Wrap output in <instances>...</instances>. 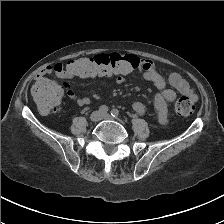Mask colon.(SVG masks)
<instances>
[{
  "label": "colon",
  "mask_w": 224,
  "mask_h": 224,
  "mask_svg": "<svg viewBox=\"0 0 224 224\" xmlns=\"http://www.w3.org/2000/svg\"><path fill=\"white\" fill-rule=\"evenodd\" d=\"M135 55L102 53L91 57H81L68 62V68L78 78L109 77L116 74H129L139 66ZM32 97L41 113H55L60 106L62 92L59 86L48 81H36L31 90ZM176 113L187 117L195 110V104L189 97H180L175 104Z\"/></svg>",
  "instance_id": "colon-1"
}]
</instances>
